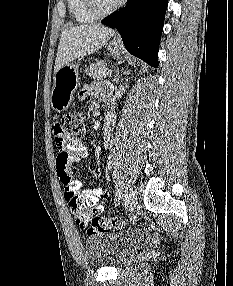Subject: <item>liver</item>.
<instances>
[{
	"label": "liver",
	"mask_w": 233,
	"mask_h": 286,
	"mask_svg": "<svg viewBox=\"0 0 233 286\" xmlns=\"http://www.w3.org/2000/svg\"><path fill=\"white\" fill-rule=\"evenodd\" d=\"M114 34L112 29L98 23L65 28L58 45L54 72L76 59L98 51Z\"/></svg>",
	"instance_id": "6515ba94"
}]
</instances>
